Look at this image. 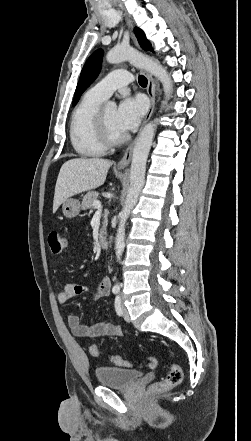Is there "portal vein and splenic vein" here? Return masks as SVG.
<instances>
[{
	"mask_svg": "<svg viewBox=\"0 0 251 441\" xmlns=\"http://www.w3.org/2000/svg\"><path fill=\"white\" fill-rule=\"evenodd\" d=\"M94 208H96L98 211H100L102 209V205L101 202L96 200L93 202Z\"/></svg>",
	"mask_w": 251,
	"mask_h": 441,
	"instance_id": "1",
	"label": "portal vein and splenic vein"
}]
</instances>
